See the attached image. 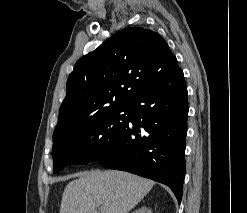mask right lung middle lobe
Returning <instances> with one entry per match:
<instances>
[{
  "label": "right lung middle lobe",
  "mask_w": 247,
  "mask_h": 213,
  "mask_svg": "<svg viewBox=\"0 0 247 213\" xmlns=\"http://www.w3.org/2000/svg\"><path fill=\"white\" fill-rule=\"evenodd\" d=\"M130 118V104L110 108L91 120L53 137L54 172L69 164H85L97 160L110 150L120 129Z\"/></svg>",
  "instance_id": "obj_1"
}]
</instances>
